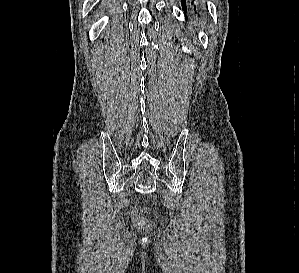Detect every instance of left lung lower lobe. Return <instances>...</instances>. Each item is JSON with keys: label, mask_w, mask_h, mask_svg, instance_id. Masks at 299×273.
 <instances>
[{"label": "left lung lower lobe", "mask_w": 299, "mask_h": 273, "mask_svg": "<svg viewBox=\"0 0 299 273\" xmlns=\"http://www.w3.org/2000/svg\"><path fill=\"white\" fill-rule=\"evenodd\" d=\"M188 2H189V0H181L184 12H186V3H188ZM196 3H197V0H191V5L194 6V10H196V8H197V6L195 5Z\"/></svg>", "instance_id": "obj_1"}]
</instances>
